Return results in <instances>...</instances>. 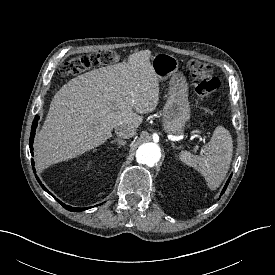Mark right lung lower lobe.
Listing matches in <instances>:
<instances>
[{
  "instance_id": "obj_1",
  "label": "right lung lower lobe",
  "mask_w": 275,
  "mask_h": 275,
  "mask_svg": "<svg viewBox=\"0 0 275 275\" xmlns=\"http://www.w3.org/2000/svg\"><path fill=\"white\" fill-rule=\"evenodd\" d=\"M38 120H39V117L36 116L34 118V121L32 123V129H31V136H30V139H29V145H30V152L31 154L33 155V138L35 136V129L37 127V124H38ZM32 166H34V162H33V159H32ZM33 171L35 173V169L33 168ZM36 176V179L38 180L39 184L41 185V187L46 191L48 192V190L44 187V185L41 183V181L39 180V178ZM50 195H52L50 192H49ZM53 196V195H52ZM54 197V196H53ZM55 198V197H54ZM65 209L69 210V211H72V212H80V211H84L88 208H73L69 205H65L64 203H62L60 200L56 199Z\"/></svg>"
}]
</instances>
